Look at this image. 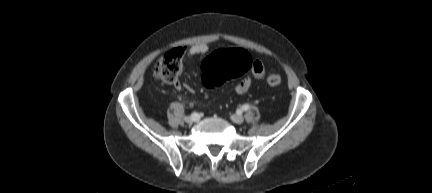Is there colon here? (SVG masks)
Returning a JSON list of instances; mask_svg holds the SVG:
<instances>
[{"label":"colon","mask_w":432,"mask_h":193,"mask_svg":"<svg viewBox=\"0 0 432 193\" xmlns=\"http://www.w3.org/2000/svg\"><path fill=\"white\" fill-rule=\"evenodd\" d=\"M253 60L242 49H225L213 52L205 59L202 66L203 82L207 87L220 85L226 80L247 74ZM182 69V51L174 49L161 56L154 66V74L163 82L172 84L178 79ZM266 82L271 87H278L282 77L277 72H270Z\"/></svg>","instance_id":"5ec220e1"}]
</instances>
